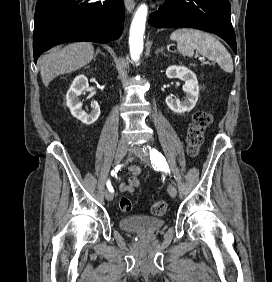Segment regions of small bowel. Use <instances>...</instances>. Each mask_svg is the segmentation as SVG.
<instances>
[{
  "label": "small bowel",
  "instance_id": "1",
  "mask_svg": "<svg viewBox=\"0 0 272 282\" xmlns=\"http://www.w3.org/2000/svg\"><path fill=\"white\" fill-rule=\"evenodd\" d=\"M140 173V168L137 166H133L130 168V174L132 175H138ZM139 187V181L136 185H130V184H121L119 186V190L123 193H131L133 192L136 188Z\"/></svg>",
  "mask_w": 272,
  "mask_h": 282
}]
</instances>
